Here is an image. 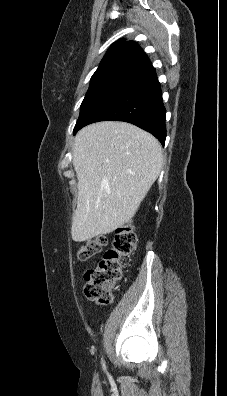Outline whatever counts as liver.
<instances>
[{"mask_svg": "<svg viewBox=\"0 0 227 396\" xmlns=\"http://www.w3.org/2000/svg\"><path fill=\"white\" fill-rule=\"evenodd\" d=\"M72 163L78 179L72 239L83 242L129 222L158 178L162 147L148 132L105 121L81 129Z\"/></svg>", "mask_w": 227, "mask_h": 396, "instance_id": "liver-1", "label": "liver"}]
</instances>
